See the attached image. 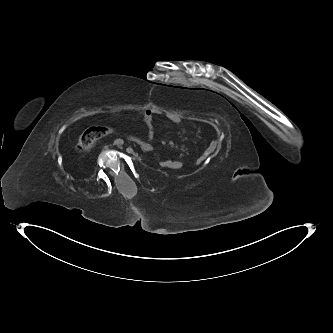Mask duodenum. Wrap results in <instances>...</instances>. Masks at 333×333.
<instances>
[{
    "mask_svg": "<svg viewBox=\"0 0 333 333\" xmlns=\"http://www.w3.org/2000/svg\"><path fill=\"white\" fill-rule=\"evenodd\" d=\"M131 141H132L133 143H135L137 146H139L140 149H141L142 151H144V152H150V151L153 150V146H152L150 143L145 142V141H143V140H141V139H138V138H132Z\"/></svg>",
    "mask_w": 333,
    "mask_h": 333,
    "instance_id": "obj_1",
    "label": "duodenum"
}]
</instances>
